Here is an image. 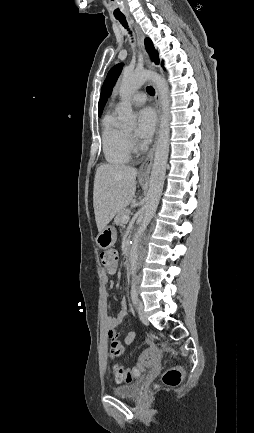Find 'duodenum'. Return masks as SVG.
Masks as SVG:
<instances>
[{
	"label": "duodenum",
	"mask_w": 254,
	"mask_h": 433,
	"mask_svg": "<svg viewBox=\"0 0 254 433\" xmlns=\"http://www.w3.org/2000/svg\"><path fill=\"white\" fill-rule=\"evenodd\" d=\"M130 254H131V245L129 242H126L125 245V259H126V263H129V259H130Z\"/></svg>",
	"instance_id": "duodenum-1"
}]
</instances>
